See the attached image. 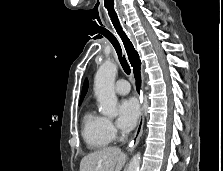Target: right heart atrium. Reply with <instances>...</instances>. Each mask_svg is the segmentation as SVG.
<instances>
[{"mask_svg": "<svg viewBox=\"0 0 223 171\" xmlns=\"http://www.w3.org/2000/svg\"><path fill=\"white\" fill-rule=\"evenodd\" d=\"M106 126H107V130L110 133V135L112 137H115V135L117 133V130H116L113 122L111 120H109V119H106Z\"/></svg>", "mask_w": 223, "mask_h": 171, "instance_id": "1", "label": "right heart atrium"}]
</instances>
